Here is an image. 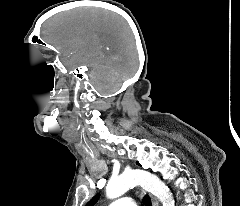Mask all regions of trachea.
I'll return each instance as SVG.
<instances>
[{
  "mask_svg": "<svg viewBox=\"0 0 240 206\" xmlns=\"http://www.w3.org/2000/svg\"><path fill=\"white\" fill-rule=\"evenodd\" d=\"M143 203H144L145 206H151V201H150L148 196L145 195L143 197Z\"/></svg>",
  "mask_w": 240,
  "mask_h": 206,
  "instance_id": "3493384b",
  "label": "trachea"
}]
</instances>
